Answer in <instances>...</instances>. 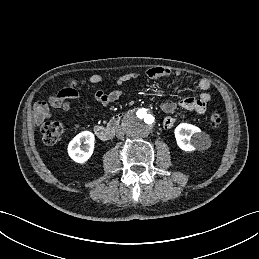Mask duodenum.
Returning <instances> with one entry per match:
<instances>
[{
	"mask_svg": "<svg viewBox=\"0 0 259 259\" xmlns=\"http://www.w3.org/2000/svg\"><path fill=\"white\" fill-rule=\"evenodd\" d=\"M122 115H117L111 119V121L106 125H97L95 127L96 135L103 141H109L113 139L115 133L120 128Z\"/></svg>",
	"mask_w": 259,
	"mask_h": 259,
	"instance_id": "410a0bca",
	"label": "duodenum"
}]
</instances>
